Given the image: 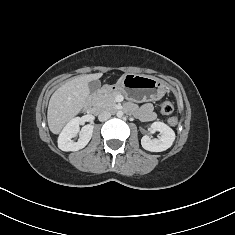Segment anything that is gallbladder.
<instances>
[{"instance_id":"1","label":"gallbladder","mask_w":235,"mask_h":235,"mask_svg":"<svg viewBox=\"0 0 235 235\" xmlns=\"http://www.w3.org/2000/svg\"><path fill=\"white\" fill-rule=\"evenodd\" d=\"M89 90L94 93L100 89L101 83L99 80H92L88 83Z\"/></svg>"}]
</instances>
